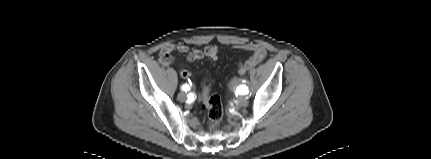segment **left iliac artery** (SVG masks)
I'll list each match as a JSON object with an SVG mask.
<instances>
[{"label": "left iliac artery", "mask_w": 431, "mask_h": 159, "mask_svg": "<svg viewBox=\"0 0 431 159\" xmlns=\"http://www.w3.org/2000/svg\"><path fill=\"white\" fill-rule=\"evenodd\" d=\"M240 94H248L249 90L245 85H241L240 87H238L237 89Z\"/></svg>", "instance_id": "44dca946"}]
</instances>
